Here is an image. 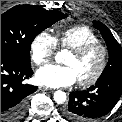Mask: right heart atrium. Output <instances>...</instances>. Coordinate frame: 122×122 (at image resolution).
Segmentation results:
<instances>
[{"mask_svg":"<svg viewBox=\"0 0 122 122\" xmlns=\"http://www.w3.org/2000/svg\"><path fill=\"white\" fill-rule=\"evenodd\" d=\"M56 40L46 31L39 32L30 44V56L33 63L41 65L52 58L56 50Z\"/></svg>","mask_w":122,"mask_h":122,"instance_id":"d8ad5b80","label":"right heart atrium"}]
</instances>
